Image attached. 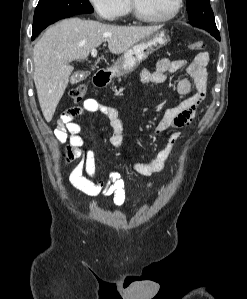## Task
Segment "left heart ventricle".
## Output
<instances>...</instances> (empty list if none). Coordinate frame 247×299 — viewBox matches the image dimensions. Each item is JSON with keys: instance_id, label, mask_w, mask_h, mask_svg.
Masks as SVG:
<instances>
[{"instance_id": "obj_1", "label": "left heart ventricle", "mask_w": 247, "mask_h": 299, "mask_svg": "<svg viewBox=\"0 0 247 299\" xmlns=\"http://www.w3.org/2000/svg\"><path fill=\"white\" fill-rule=\"evenodd\" d=\"M144 14L150 17H163L170 14L176 4V0H138Z\"/></svg>"}]
</instances>
